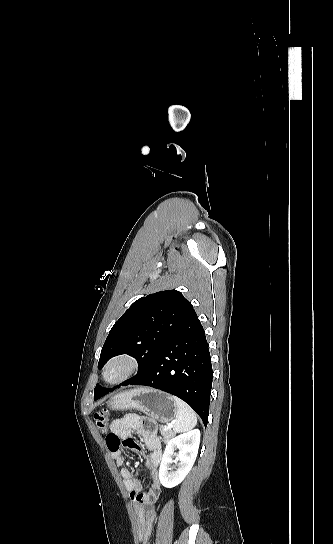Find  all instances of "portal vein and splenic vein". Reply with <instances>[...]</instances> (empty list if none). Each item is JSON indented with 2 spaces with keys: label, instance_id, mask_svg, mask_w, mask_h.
Instances as JSON below:
<instances>
[{
  "label": "portal vein and splenic vein",
  "instance_id": "obj_1",
  "mask_svg": "<svg viewBox=\"0 0 333 544\" xmlns=\"http://www.w3.org/2000/svg\"><path fill=\"white\" fill-rule=\"evenodd\" d=\"M172 428V423H168L167 426L164 428L165 431L170 430Z\"/></svg>",
  "mask_w": 333,
  "mask_h": 544
}]
</instances>
